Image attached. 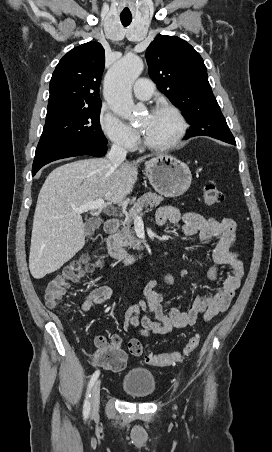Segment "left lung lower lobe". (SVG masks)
Segmentation results:
<instances>
[{"label": "left lung lower lobe", "mask_w": 272, "mask_h": 452, "mask_svg": "<svg viewBox=\"0 0 272 452\" xmlns=\"http://www.w3.org/2000/svg\"><path fill=\"white\" fill-rule=\"evenodd\" d=\"M193 136H201V135L199 133H197V132L196 133L188 132L187 136L185 138L188 139V138L193 137ZM216 139H219V140H222L224 142H228V143H231L233 145H236L234 137L233 138H231V137L230 138L221 137V138H216Z\"/></svg>", "instance_id": "obj_1"}]
</instances>
